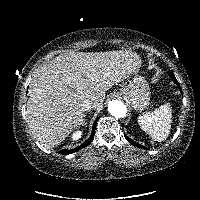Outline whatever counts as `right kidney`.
I'll return each instance as SVG.
<instances>
[{"label":"right kidney","mask_w":200,"mask_h":200,"mask_svg":"<svg viewBox=\"0 0 200 200\" xmlns=\"http://www.w3.org/2000/svg\"><path fill=\"white\" fill-rule=\"evenodd\" d=\"M82 136V131H76L73 133L71 139L74 141V140H78L80 139Z\"/></svg>","instance_id":"1"}]
</instances>
